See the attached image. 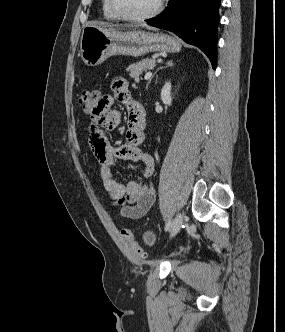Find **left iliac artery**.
Instances as JSON below:
<instances>
[{"label": "left iliac artery", "mask_w": 285, "mask_h": 332, "mask_svg": "<svg viewBox=\"0 0 285 332\" xmlns=\"http://www.w3.org/2000/svg\"><path fill=\"white\" fill-rule=\"evenodd\" d=\"M170 227H171V220L169 218L165 225V231H168L170 229Z\"/></svg>", "instance_id": "1"}]
</instances>
